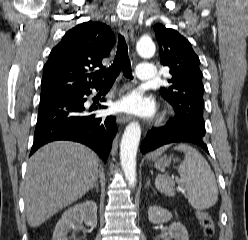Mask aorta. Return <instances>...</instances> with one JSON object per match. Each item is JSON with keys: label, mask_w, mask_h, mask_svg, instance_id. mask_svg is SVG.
I'll use <instances>...</instances> for the list:
<instances>
[{"label": "aorta", "mask_w": 248, "mask_h": 240, "mask_svg": "<svg viewBox=\"0 0 248 240\" xmlns=\"http://www.w3.org/2000/svg\"><path fill=\"white\" fill-rule=\"evenodd\" d=\"M136 50L141 57L150 58L155 54V44L150 38H141L136 45ZM141 138V128L138 122H131L125 128L120 144L121 166L130 187H135L136 154Z\"/></svg>", "instance_id": "1"}]
</instances>
